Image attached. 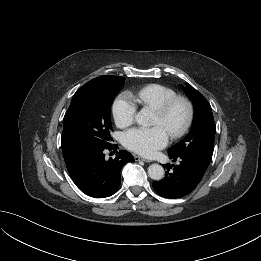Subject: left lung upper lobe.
<instances>
[{
	"label": "left lung upper lobe",
	"instance_id": "left-lung-upper-lobe-1",
	"mask_svg": "<svg viewBox=\"0 0 261 261\" xmlns=\"http://www.w3.org/2000/svg\"><path fill=\"white\" fill-rule=\"evenodd\" d=\"M194 105V119L190 132L168 150L169 156L186 157L207 169L212 159L216 126L211 106L206 98L192 86L183 88Z\"/></svg>",
	"mask_w": 261,
	"mask_h": 261
}]
</instances>
